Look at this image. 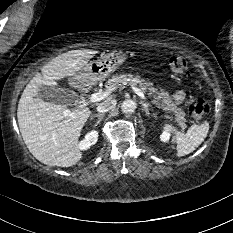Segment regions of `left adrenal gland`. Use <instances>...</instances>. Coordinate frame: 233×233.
<instances>
[{"instance_id": "a2214340", "label": "left adrenal gland", "mask_w": 233, "mask_h": 233, "mask_svg": "<svg viewBox=\"0 0 233 233\" xmlns=\"http://www.w3.org/2000/svg\"><path fill=\"white\" fill-rule=\"evenodd\" d=\"M140 104L143 106V110L147 116L150 115L149 113V104L145 103L144 101H141Z\"/></svg>"}]
</instances>
